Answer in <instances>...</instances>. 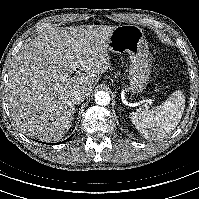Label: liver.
<instances>
[{
  "instance_id": "liver-1",
  "label": "liver",
  "mask_w": 199,
  "mask_h": 199,
  "mask_svg": "<svg viewBox=\"0 0 199 199\" xmlns=\"http://www.w3.org/2000/svg\"><path fill=\"white\" fill-rule=\"evenodd\" d=\"M115 28H53L22 47L11 64L7 87L11 115L23 133L48 142L69 131L76 112L70 92L80 88L90 96L110 66L107 41ZM69 61L78 73L72 75Z\"/></svg>"
}]
</instances>
